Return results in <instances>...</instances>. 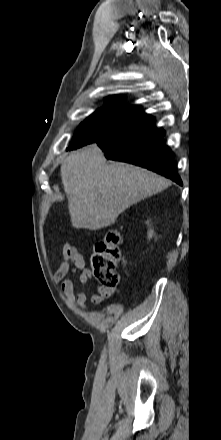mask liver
<instances>
[{"mask_svg": "<svg viewBox=\"0 0 221 440\" xmlns=\"http://www.w3.org/2000/svg\"><path fill=\"white\" fill-rule=\"evenodd\" d=\"M61 178L73 227L89 230L114 224L128 207L170 185L140 167L107 162L96 144L69 155L61 165Z\"/></svg>", "mask_w": 221, "mask_h": 440, "instance_id": "1", "label": "liver"}]
</instances>
